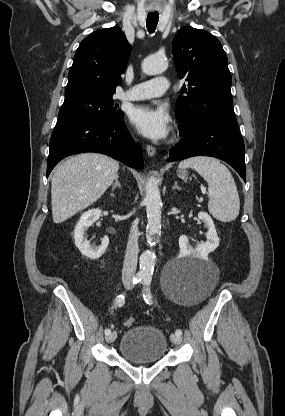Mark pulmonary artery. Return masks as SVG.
<instances>
[{
  "instance_id": "pulmonary-artery-1",
  "label": "pulmonary artery",
  "mask_w": 285,
  "mask_h": 416,
  "mask_svg": "<svg viewBox=\"0 0 285 416\" xmlns=\"http://www.w3.org/2000/svg\"><path fill=\"white\" fill-rule=\"evenodd\" d=\"M168 80L159 76L149 79L145 82L136 84L133 88L123 89L121 99L140 100L149 97L161 96L167 90Z\"/></svg>"
}]
</instances>
